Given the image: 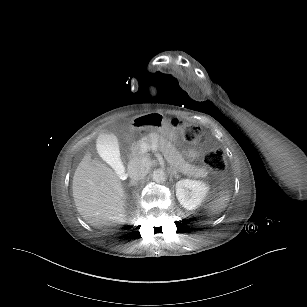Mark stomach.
<instances>
[{"mask_svg":"<svg viewBox=\"0 0 307 307\" xmlns=\"http://www.w3.org/2000/svg\"><path fill=\"white\" fill-rule=\"evenodd\" d=\"M132 124L137 129H150L159 132L170 142L178 144L176 128L161 114L149 113L133 119Z\"/></svg>","mask_w":307,"mask_h":307,"instance_id":"stomach-1","label":"stomach"}]
</instances>
